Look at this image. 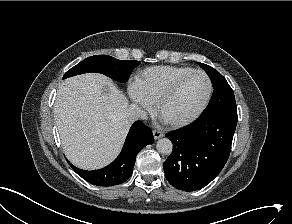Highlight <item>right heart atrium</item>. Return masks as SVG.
Listing matches in <instances>:
<instances>
[{
    "instance_id": "right-heart-atrium-1",
    "label": "right heart atrium",
    "mask_w": 292,
    "mask_h": 224,
    "mask_svg": "<svg viewBox=\"0 0 292 224\" xmlns=\"http://www.w3.org/2000/svg\"><path fill=\"white\" fill-rule=\"evenodd\" d=\"M129 97L132 102L143 111H148L151 109L152 104L143 93L137 88L135 84L130 85L128 89Z\"/></svg>"
}]
</instances>
